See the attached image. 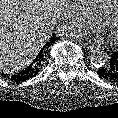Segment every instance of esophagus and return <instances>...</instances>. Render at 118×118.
<instances>
[{
  "label": "esophagus",
  "mask_w": 118,
  "mask_h": 118,
  "mask_svg": "<svg viewBox=\"0 0 118 118\" xmlns=\"http://www.w3.org/2000/svg\"><path fill=\"white\" fill-rule=\"evenodd\" d=\"M81 45H83V47L87 48V49H93L94 45L91 42H84V41H80Z\"/></svg>",
  "instance_id": "esophagus-1"
}]
</instances>
